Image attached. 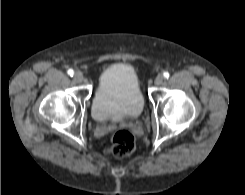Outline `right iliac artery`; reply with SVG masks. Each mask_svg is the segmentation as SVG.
<instances>
[{"label": "right iliac artery", "instance_id": "right-iliac-artery-1", "mask_svg": "<svg viewBox=\"0 0 245 195\" xmlns=\"http://www.w3.org/2000/svg\"><path fill=\"white\" fill-rule=\"evenodd\" d=\"M67 73H68V75H70V76H73V75H74V71H73L72 69H69Z\"/></svg>", "mask_w": 245, "mask_h": 195}]
</instances>
